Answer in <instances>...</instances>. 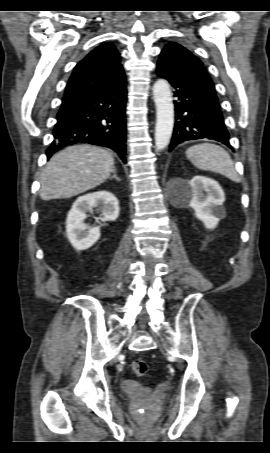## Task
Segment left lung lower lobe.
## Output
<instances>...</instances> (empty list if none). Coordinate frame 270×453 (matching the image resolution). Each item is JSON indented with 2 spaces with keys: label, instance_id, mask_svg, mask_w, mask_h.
<instances>
[{
  "label": "left lung lower lobe",
  "instance_id": "0a47b994",
  "mask_svg": "<svg viewBox=\"0 0 270 453\" xmlns=\"http://www.w3.org/2000/svg\"><path fill=\"white\" fill-rule=\"evenodd\" d=\"M157 74L172 84L174 96L178 98L175 101L177 121L169 151L184 141L203 138L214 139L233 149L214 84L164 59L158 61Z\"/></svg>",
  "mask_w": 270,
  "mask_h": 453
}]
</instances>
